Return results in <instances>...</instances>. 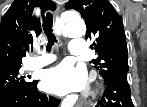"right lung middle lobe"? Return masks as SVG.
<instances>
[{
	"label": "right lung middle lobe",
	"instance_id": "obj_1",
	"mask_svg": "<svg viewBox=\"0 0 147 107\" xmlns=\"http://www.w3.org/2000/svg\"><path fill=\"white\" fill-rule=\"evenodd\" d=\"M21 65H14L0 70V96L29 87L33 81H28L19 73Z\"/></svg>",
	"mask_w": 147,
	"mask_h": 107
}]
</instances>
